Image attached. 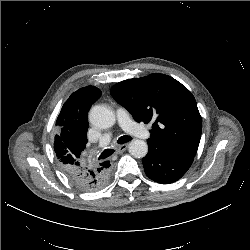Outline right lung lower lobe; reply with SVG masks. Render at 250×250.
<instances>
[{
	"label": "right lung lower lobe",
	"mask_w": 250,
	"mask_h": 250,
	"mask_svg": "<svg viewBox=\"0 0 250 250\" xmlns=\"http://www.w3.org/2000/svg\"><path fill=\"white\" fill-rule=\"evenodd\" d=\"M110 162L87 164L73 168H62L68 179L83 191L101 189L109 179Z\"/></svg>",
	"instance_id": "right-lung-lower-lobe-1"
}]
</instances>
